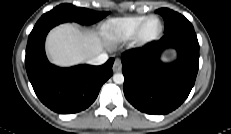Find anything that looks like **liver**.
Wrapping results in <instances>:
<instances>
[{
	"mask_svg": "<svg viewBox=\"0 0 231 134\" xmlns=\"http://www.w3.org/2000/svg\"><path fill=\"white\" fill-rule=\"evenodd\" d=\"M46 51L52 63L71 66L90 60L103 51L95 31L82 32L72 24H62L50 31Z\"/></svg>",
	"mask_w": 231,
	"mask_h": 134,
	"instance_id": "obj_1",
	"label": "liver"
}]
</instances>
